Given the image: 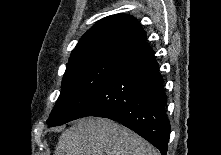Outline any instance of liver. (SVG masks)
Returning <instances> with one entry per match:
<instances>
[{
	"label": "liver",
	"instance_id": "liver-1",
	"mask_svg": "<svg viewBox=\"0 0 221 155\" xmlns=\"http://www.w3.org/2000/svg\"><path fill=\"white\" fill-rule=\"evenodd\" d=\"M55 155H159L135 132L105 118H82L60 136Z\"/></svg>",
	"mask_w": 221,
	"mask_h": 155
}]
</instances>
